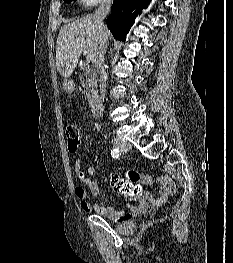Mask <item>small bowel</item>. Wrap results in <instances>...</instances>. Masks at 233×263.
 <instances>
[{"mask_svg":"<svg viewBox=\"0 0 233 263\" xmlns=\"http://www.w3.org/2000/svg\"><path fill=\"white\" fill-rule=\"evenodd\" d=\"M74 168L78 180L89 189L92 195L98 196L100 194L99 186L91 178L95 174V168L90 166L87 170H84L80 160H76ZM120 175L123 176L122 174ZM143 180L146 183H158V196L154 198L150 194H147L144 198V195L140 193L137 198L138 205L131 208L130 211H121L112 206H102L100 204L89 203L87 201V191L83 186H76L74 193L83 211H95L113 222L120 223L130 220L134 215L142 213L146 210L154 211L159 209L167 202L168 198L175 193L176 186L173 179L169 175H163L157 178L146 177Z\"/></svg>","mask_w":233,"mask_h":263,"instance_id":"obj_1","label":"small bowel"}]
</instances>
